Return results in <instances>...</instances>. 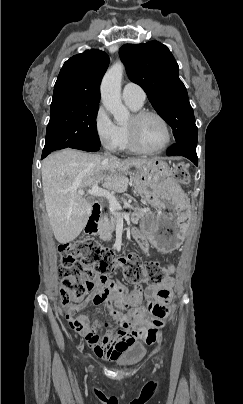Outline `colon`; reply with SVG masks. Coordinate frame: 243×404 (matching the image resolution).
<instances>
[{
  "mask_svg": "<svg viewBox=\"0 0 243 404\" xmlns=\"http://www.w3.org/2000/svg\"><path fill=\"white\" fill-rule=\"evenodd\" d=\"M174 177L182 184L189 183V175L183 166H178ZM61 254V298L64 304L79 301L96 283L115 270H121L131 283L161 284L172 273L158 262L144 263L136 254L115 258L112 251L92 239H81L58 246ZM141 294L135 291L123 301L125 307L140 303Z\"/></svg>",
  "mask_w": 243,
  "mask_h": 404,
  "instance_id": "colon-1",
  "label": "colon"
}]
</instances>
